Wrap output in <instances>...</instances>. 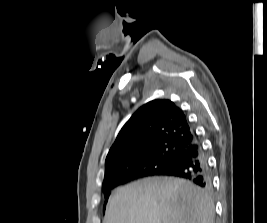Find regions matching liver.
<instances>
[{
	"label": "liver",
	"mask_w": 267,
	"mask_h": 223,
	"mask_svg": "<svg viewBox=\"0 0 267 223\" xmlns=\"http://www.w3.org/2000/svg\"><path fill=\"white\" fill-rule=\"evenodd\" d=\"M104 223H214V204L191 182L145 178L114 191Z\"/></svg>",
	"instance_id": "1"
}]
</instances>
